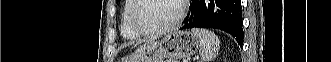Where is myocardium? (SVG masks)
<instances>
[{
    "instance_id": "obj_1",
    "label": "myocardium",
    "mask_w": 331,
    "mask_h": 62,
    "mask_svg": "<svg viewBox=\"0 0 331 62\" xmlns=\"http://www.w3.org/2000/svg\"><path fill=\"white\" fill-rule=\"evenodd\" d=\"M144 1L145 0H135L134 6H133L131 14H130L131 25L138 34H140L142 36L160 35V34L167 33L169 31L177 28L181 24V22L184 18V15H185V9H186L185 1L175 0L178 3L179 12H178L176 19L172 23H170L169 25H166L164 27H160V28H156V29H148V28L143 27L137 19V13H138L139 9L141 8Z\"/></svg>"
}]
</instances>
